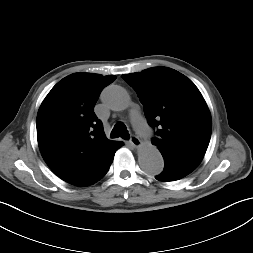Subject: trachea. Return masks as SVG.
Returning a JSON list of instances; mask_svg holds the SVG:
<instances>
[{
  "label": "trachea",
  "mask_w": 253,
  "mask_h": 253,
  "mask_svg": "<svg viewBox=\"0 0 253 253\" xmlns=\"http://www.w3.org/2000/svg\"><path fill=\"white\" fill-rule=\"evenodd\" d=\"M111 137L112 138L121 137L123 139L128 140L129 133H128L127 127L122 122L117 123L114 126L113 130L111 131Z\"/></svg>",
  "instance_id": "3493384b"
}]
</instances>
